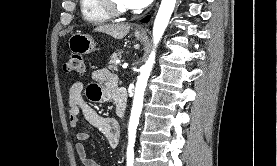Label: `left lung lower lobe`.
Returning <instances> with one entry per match:
<instances>
[{"label":"left lung lower lobe","mask_w":277,"mask_h":166,"mask_svg":"<svg viewBox=\"0 0 277 166\" xmlns=\"http://www.w3.org/2000/svg\"><path fill=\"white\" fill-rule=\"evenodd\" d=\"M148 20H149V16L146 17L143 21H144V22H147Z\"/></svg>","instance_id":"0a47b994"}]
</instances>
